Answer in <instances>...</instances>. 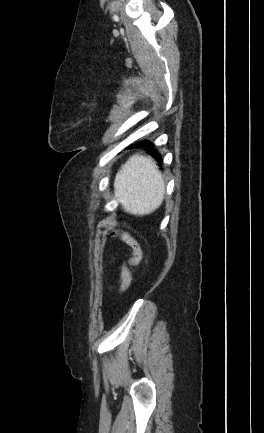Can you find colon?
Segmentation results:
<instances>
[{
    "label": "colon",
    "mask_w": 264,
    "mask_h": 433,
    "mask_svg": "<svg viewBox=\"0 0 264 433\" xmlns=\"http://www.w3.org/2000/svg\"><path fill=\"white\" fill-rule=\"evenodd\" d=\"M112 236L119 237L130 248L131 255L122 262L121 265V286L120 293L124 294L131 284V268L138 265L142 258V251L139 243L128 233L118 230L111 232Z\"/></svg>",
    "instance_id": "obj_1"
}]
</instances>
